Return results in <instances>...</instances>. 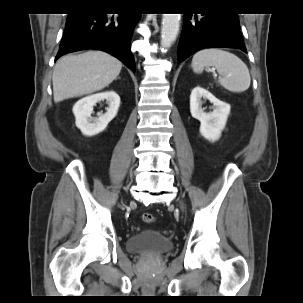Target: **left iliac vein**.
Wrapping results in <instances>:
<instances>
[{
    "mask_svg": "<svg viewBox=\"0 0 303 303\" xmlns=\"http://www.w3.org/2000/svg\"><path fill=\"white\" fill-rule=\"evenodd\" d=\"M180 207L181 209H184V204L182 202L180 203Z\"/></svg>",
    "mask_w": 303,
    "mask_h": 303,
    "instance_id": "left-iliac-vein-1",
    "label": "left iliac vein"
}]
</instances>
